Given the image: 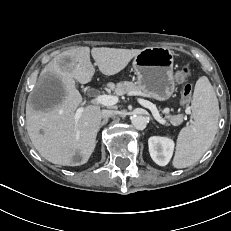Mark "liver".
Listing matches in <instances>:
<instances>
[{
  "label": "liver",
  "mask_w": 231,
  "mask_h": 231,
  "mask_svg": "<svg viewBox=\"0 0 231 231\" xmlns=\"http://www.w3.org/2000/svg\"><path fill=\"white\" fill-rule=\"evenodd\" d=\"M141 51L75 47L58 54L43 68L37 84L53 82L56 103L49 107L47 102L32 104L30 96L26 104L28 135L42 157L54 164L79 166L88 161L95 149L102 117L100 106L84 107L80 118L75 120L76 109L82 103L75 81L86 84L95 73L90 52L100 72L111 76L122 71Z\"/></svg>",
  "instance_id": "liver-1"
}]
</instances>
